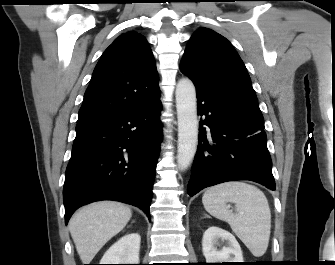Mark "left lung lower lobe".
Here are the masks:
<instances>
[{
    "label": "left lung lower lobe",
    "instance_id": "left-lung-lower-lobe-1",
    "mask_svg": "<svg viewBox=\"0 0 335 265\" xmlns=\"http://www.w3.org/2000/svg\"><path fill=\"white\" fill-rule=\"evenodd\" d=\"M196 95L203 118L187 193L194 196L234 180H251L275 190L263 118L205 92L196 90Z\"/></svg>",
    "mask_w": 335,
    "mask_h": 265
}]
</instances>
